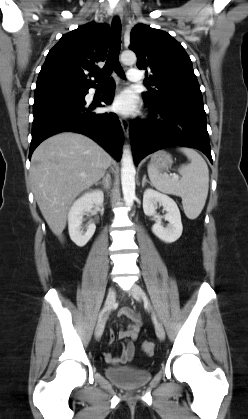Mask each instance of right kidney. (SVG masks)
I'll list each match as a JSON object with an SVG mask.
<instances>
[{
  "label": "right kidney",
  "mask_w": 248,
  "mask_h": 419,
  "mask_svg": "<svg viewBox=\"0 0 248 419\" xmlns=\"http://www.w3.org/2000/svg\"><path fill=\"white\" fill-rule=\"evenodd\" d=\"M104 201V194L100 190H92L77 199L71 206L68 213V229L71 240L79 247H83L93 236L96 226L90 223L85 233L81 231L83 216L91 212L96 206H101Z\"/></svg>",
  "instance_id": "obj_1"
}]
</instances>
